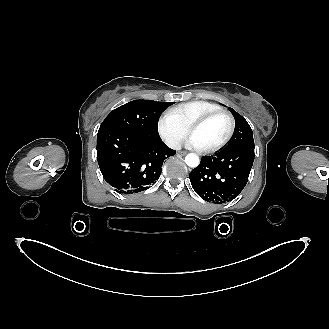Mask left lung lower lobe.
I'll use <instances>...</instances> for the list:
<instances>
[{"instance_id":"0a47b994","label":"left lung lower lobe","mask_w":329,"mask_h":329,"mask_svg":"<svg viewBox=\"0 0 329 329\" xmlns=\"http://www.w3.org/2000/svg\"><path fill=\"white\" fill-rule=\"evenodd\" d=\"M253 162L254 148L248 147L205 156L190 172L191 185L206 201L229 202L246 186Z\"/></svg>"}]
</instances>
